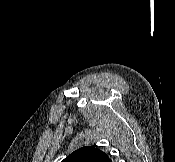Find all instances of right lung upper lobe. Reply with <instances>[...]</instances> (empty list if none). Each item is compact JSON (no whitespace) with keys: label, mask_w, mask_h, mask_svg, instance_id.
Wrapping results in <instances>:
<instances>
[{"label":"right lung upper lobe","mask_w":175,"mask_h":162,"mask_svg":"<svg viewBox=\"0 0 175 162\" xmlns=\"http://www.w3.org/2000/svg\"><path fill=\"white\" fill-rule=\"evenodd\" d=\"M62 162H112L108 156L94 146H86L67 156Z\"/></svg>","instance_id":"right-lung-upper-lobe-1"}]
</instances>
